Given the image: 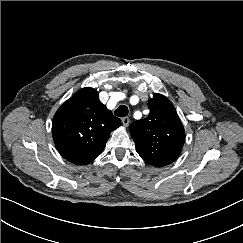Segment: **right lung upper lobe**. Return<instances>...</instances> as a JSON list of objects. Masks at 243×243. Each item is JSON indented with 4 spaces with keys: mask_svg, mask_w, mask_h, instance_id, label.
Here are the masks:
<instances>
[{
    "mask_svg": "<svg viewBox=\"0 0 243 243\" xmlns=\"http://www.w3.org/2000/svg\"><path fill=\"white\" fill-rule=\"evenodd\" d=\"M120 123L99 101L95 89L83 88L55 113L52 134L58 152L65 159L85 165L103 152L110 133Z\"/></svg>",
    "mask_w": 243,
    "mask_h": 243,
    "instance_id": "obj_1",
    "label": "right lung upper lobe"
}]
</instances>
